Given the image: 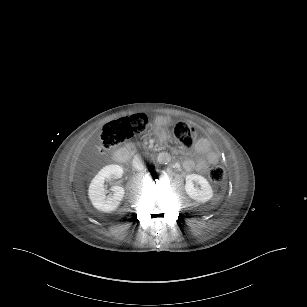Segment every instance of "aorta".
Segmentation results:
<instances>
[{"mask_svg": "<svg viewBox=\"0 0 307 307\" xmlns=\"http://www.w3.org/2000/svg\"><path fill=\"white\" fill-rule=\"evenodd\" d=\"M157 160L162 164H167L171 161V156L167 152H161L158 154Z\"/></svg>", "mask_w": 307, "mask_h": 307, "instance_id": "aorta-1", "label": "aorta"}]
</instances>
